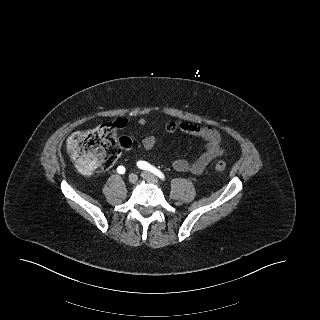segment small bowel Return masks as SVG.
<instances>
[{"label": "small bowel", "mask_w": 320, "mask_h": 320, "mask_svg": "<svg viewBox=\"0 0 320 320\" xmlns=\"http://www.w3.org/2000/svg\"><path fill=\"white\" fill-rule=\"evenodd\" d=\"M118 127H124L126 121L119 119L116 122ZM146 119H138L139 126H145ZM165 129L169 133L180 131L182 133L198 137L205 142V150L195 160L176 159L172 162V167L178 172H191L193 174H201L206 167L216 158L226 153L222 145V137L220 133L211 127L198 126L186 122H168ZM157 143L154 135H148L142 140V145L146 150H152Z\"/></svg>", "instance_id": "c3829d8e"}]
</instances>
